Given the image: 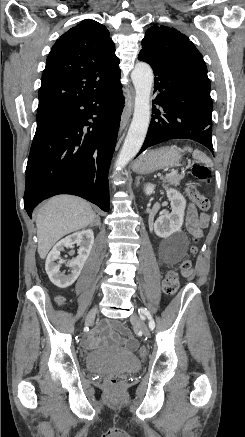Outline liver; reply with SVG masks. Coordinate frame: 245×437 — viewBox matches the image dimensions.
Listing matches in <instances>:
<instances>
[{"label":"liver","instance_id":"6515ba94","mask_svg":"<svg viewBox=\"0 0 245 437\" xmlns=\"http://www.w3.org/2000/svg\"><path fill=\"white\" fill-rule=\"evenodd\" d=\"M95 218L90 204L81 198L61 195L48 200L36 213L40 258L44 259L63 236L86 228Z\"/></svg>","mask_w":245,"mask_h":437}]
</instances>
